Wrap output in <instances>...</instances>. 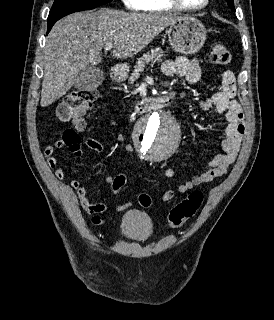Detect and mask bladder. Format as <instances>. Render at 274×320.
<instances>
[{"instance_id": "31cf9c89", "label": "bladder", "mask_w": 274, "mask_h": 320, "mask_svg": "<svg viewBox=\"0 0 274 320\" xmlns=\"http://www.w3.org/2000/svg\"><path fill=\"white\" fill-rule=\"evenodd\" d=\"M120 232L128 240L143 241L152 235L153 224L147 214L130 211L122 219Z\"/></svg>"}]
</instances>
